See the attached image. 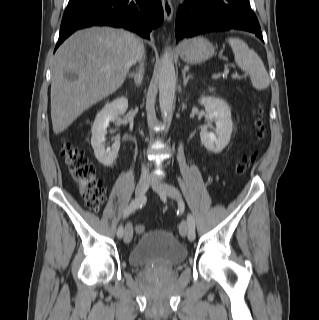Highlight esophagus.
I'll return each mask as SVG.
<instances>
[{
	"instance_id": "34e87169",
	"label": "esophagus",
	"mask_w": 319,
	"mask_h": 320,
	"mask_svg": "<svg viewBox=\"0 0 319 320\" xmlns=\"http://www.w3.org/2000/svg\"><path fill=\"white\" fill-rule=\"evenodd\" d=\"M165 19L170 22L173 18L174 8L171 0H162Z\"/></svg>"
}]
</instances>
